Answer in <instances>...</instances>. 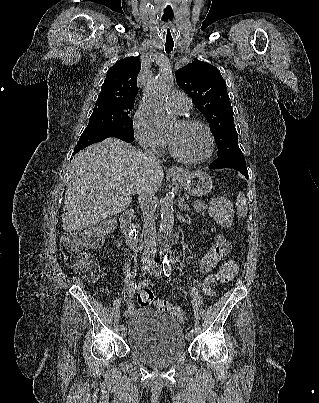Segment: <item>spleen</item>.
Wrapping results in <instances>:
<instances>
[{"mask_svg": "<svg viewBox=\"0 0 319 403\" xmlns=\"http://www.w3.org/2000/svg\"><path fill=\"white\" fill-rule=\"evenodd\" d=\"M236 206H237L239 216H241V217L247 216V211H248L247 201H246V197L243 194V192H239L237 201H236Z\"/></svg>", "mask_w": 319, "mask_h": 403, "instance_id": "obj_1", "label": "spleen"}]
</instances>
